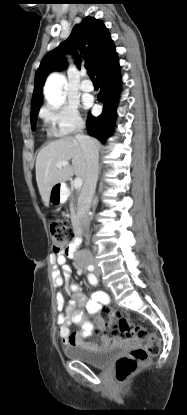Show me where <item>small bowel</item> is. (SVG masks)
Listing matches in <instances>:
<instances>
[{"label":"small bowel","instance_id":"1","mask_svg":"<svg viewBox=\"0 0 187 415\" xmlns=\"http://www.w3.org/2000/svg\"><path fill=\"white\" fill-rule=\"evenodd\" d=\"M68 254L60 253L52 257L54 265L61 268L62 273L58 269H54L53 278L56 286L64 285L70 276L71 268L67 263ZM70 299L65 307V299L61 293L57 294V309L64 313L58 315L59 335L64 345L79 346L90 351H101L108 348L117 339H111L108 336H102L99 341L88 342L86 339L92 335L93 323L86 317L85 312L94 316L98 308L102 304L108 303V296L102 291L92 294L91 298H87L81 291L80 286L76 282H68L66 284ZM79 324L80 330L71 332V325Z\"/></svg>","mask_w":187,"mask_h":415}]
</instances>
